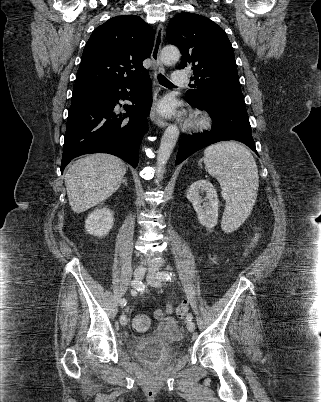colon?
Returning <instances> with one entry per match:
<instances>
[{
  "instance_id": "colon-1",
  "label": "colon",
  "mask_w": 321,
  "mask_h": 402,
  "mask_svg": "<svg viewBox=\"0 0 321 402\" xmlns=\"http://www.w3.org/2000/svg\"><path fill=\"white\" fill-rule=\"evenodd\" d=\"M261 238V232L257 231L253 236L247 254H251L257 247ZM188 312V303L186 301L181 302L176 309V314L178 317L183 318ZM133 327L136 331L144 332L150 327V320L146 315H136L133 318Z\"/></svg>"
}]
</instances>
